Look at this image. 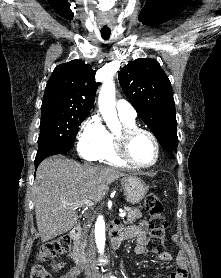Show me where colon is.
<instances>
[{
  "label": "colon",
  "mask_w": 221,
  "mask_h": 278,
  "mask_svg": "<svg viewBox=\"0 0 221 278\" xmlns=\"http://www.w3.org/2000/svg\"><path fill=\"white\" fill-rule=\"evenodd\" d=\"M145 208L149 217V239L147 247L152 252L159 254L164 251V240L168 227L167 221L163 216L164 207L157 196L149 195L145 199ZM70 246L71 240L69 237H60L43 244L37 258L39 260H44L45 258L52 257L53 266L59 268L62 265L59 254L67 251ZM30 278H51V276L43 266L35 265L31 269Z\"/></svg>",
  "instance_id": "colon-1"
}]
</instances>
